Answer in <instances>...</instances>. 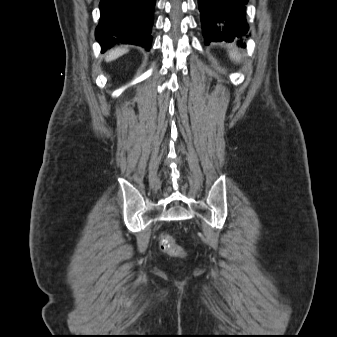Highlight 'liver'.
Masks as SVG:
<instances>
[{"instance_id":"6515ba94","label":"liver","mask_w":337,"mask_h":337,"mask_svg":"<svg viewBox=\"0 0 337 337\" xmlns=\"http://www.w3.org/2000/svg\"><path fill=\"white\" fill-rule=\"evenodd\" d=\"M128 51V49L126 48H121V47H117L115 49H112L111 51L108 52V54L105 57V60L107 62L109 61H113L117 58H119L120 56H122L123 54H125Z\"/></svg>"}]
</instances>
